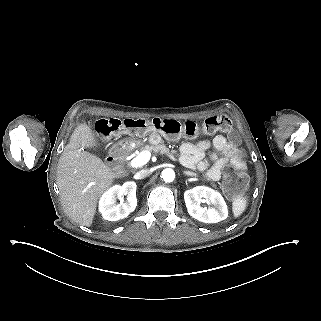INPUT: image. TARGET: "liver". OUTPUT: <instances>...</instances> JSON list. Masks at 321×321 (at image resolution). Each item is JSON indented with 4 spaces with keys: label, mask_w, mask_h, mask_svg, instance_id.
<instances>
[{
    "label": "liver",
    "mask_w": 321,
    "mask_h": 321,
    "mask_svg": "<svg viewBox=\"0 0 321 321\" xmlns=\"http://www.w3.org/2000/svg\"><path fill=\"white\" fill-rule=\"evenodd\" d=\"M98 146V136L91 126L77 125L57 167L64 211L72 221L85 227L92 225L99 199L117 177L102 159L85 151Z\"/></svg>",
    "instance_id": "1"
}]
</instances>
